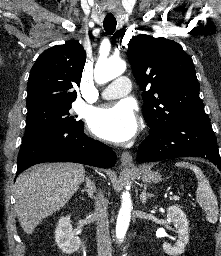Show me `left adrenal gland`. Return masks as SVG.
I'll return each mask as SVG.
<instances>
[{
  "instance_id": "left-adrenal-gland-1",
  "label": "left adrenal gland",
  "mask_w": 221,
  "mask_h": 256,
  "mask_svg": "<svg viewBox=\"0 0 221 256\" xmlns=\"http://www.w3.org/2000/svg\"><path fill=\"white\" fill-rule=\"evenodd\" d=\"M146 190H147V187H146V185H144V189H143L142 193L140 194V201L143 204L146 203L147 199H150L154 196L152 193L146 192Z\"/></svg>"
}]
</instances>
